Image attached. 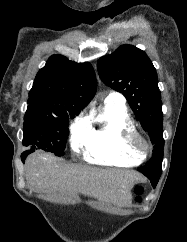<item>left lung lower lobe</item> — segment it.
Here are the masks:
<instances>
[{
	"instance_id": "0a47b994",
	"label": "left lung lower lobe",
	"mask_w": 187,
	"mask_h": 242,
	"mask_svg": "<svg viewBox=\"0 0 187 242\" xmlns=\"http://www.w3.org/2000/svg\"><path fill=\"white\" fill-rule=\"evenodd\" d=\"M146 176L149 178L153 188H155L159 181L160 176H154V175H146Z\"/></svg>"
}]
</instances>
